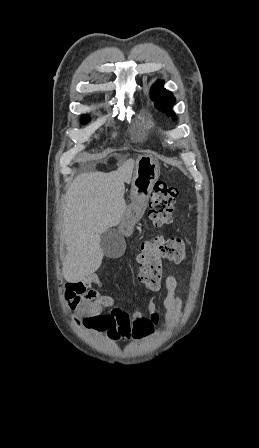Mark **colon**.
<instances>
[{
  "instance_id": "5ec220e1",
  "label": "colon",
  "mask_w": 259,
  "mask_h": 448,
  "mask_svg": "<svg viewBox=\"0 0 259 448\" xmlns=\"http://www.w3.org/2000/svg\"><path fill=\"white\" fill-rule=\"evenodd\" d=\"M178 190L158 182L154 186L149 205V218L157 226H165L172 222L173 207ZM186 242L181 238L157 237L142 244L137 256L140 266L139 281L146 291L159 289L163 277L165 263H181L186 256Z\"/></svg>"
}]
</instances>
